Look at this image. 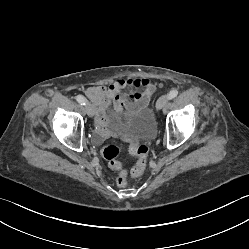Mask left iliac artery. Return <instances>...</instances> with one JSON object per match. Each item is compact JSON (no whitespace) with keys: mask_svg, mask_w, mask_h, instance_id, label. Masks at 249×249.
<instances>
[{"mask_svg":"<svg viewBox=\"0 0 249 249\" xmlns=\"http://www.w3.org/2000/svg\"><path fill=\"white\" fill-rule=\"evenodd\" d=\"M178 95V91L176 89H173L169 92L168 97L169 99H173Z\"/></svg>","mask_w":249,"mask_h":249,"instance_id":"44dca946","label":"left iliac artery"}]
</instances>
